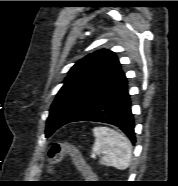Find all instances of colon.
I'll return each instance as SVG.
<instances>
[{"instance_id":"colon-1","label":"colon","mask_w":178,"mask_h":186,"mask_svg":"<svg viewBox=\"0 0 178 186\" xmlns=\"http://www.w3.org/2000/svg\"><path fill=\"white\" fill-rule=\"evenodd\" d=\"M65 155H70L75 161L77 167L84 174H88L90 172L89 167L83 160L79 150L68 143H53L48 150V164L49 168L59 163Z\"/></svg>"}]
</instances>
